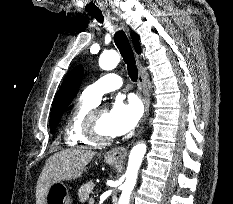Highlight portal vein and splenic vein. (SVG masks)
<instances>
[{"instance_id": "portal-vein-and-splenic-vein-1", "label": "portal vein and splenic vein", "mask_w": 233, "mask_h": 204, "mask_svg": "<svg viewBox=\"0 0 233 204\" xmlns=\"http://www.w3.org/2000/svg\"><path fill=\"white\" fill-rule=\"evenodd\" d=\"M90 201L93 203V202H94V199H93V198H91V199H90Z\"/></svg>"}]
</instances>
